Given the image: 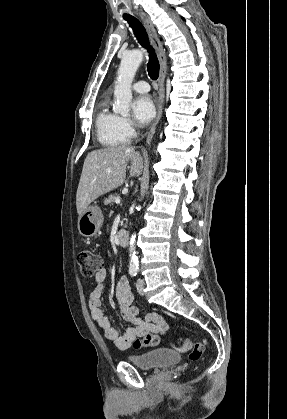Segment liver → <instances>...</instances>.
Returning a JSON list of instances; mask_svg holds the SVG:
<instances>
[{
    "instance_id": "obj_1",
    "label": "liver",
    "mask_w": 287,
    "mask_h": 419,
    "mask_svg": "<svg viewBox=\"0 0 287 419\" xmlns=\"http://www.w3.org/2000/svg\"><path fill=\"white\" fill-rule=\"evenodd\" d=\"M129 161L131 162L129 177L140 176L143 158L132 147L111 146L88 153L76 194L79 216L95 199L126 182V167Z\"/></svg>"
}]
</instances>
